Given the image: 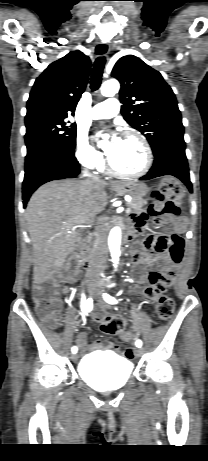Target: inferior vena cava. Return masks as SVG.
I'll return each instance as SVG.
<instances>
[{
  "label": "inferior vena cava",
  "instance_id": "inferior-vena-cava-1",
  "mask_svg": "<svg viewBox=\"0 0 208 461\" xmlns=\"http://www.w3.org/2000/svg\"><path fill=\"white\" fill-rule=\"evenodd\" d=\"M85 176H88L86 173ZM94 182H98L99 179L93 177L92 179ZM108 251L107 247V238L104 228L98 222L96 225V251L94 260L91 263L90 267V277L93 279H98L104 269H105V262H106V254Z\"/></svg>",
  "mask_w": 208,
  "mask_h": 461
}]
</instances>
